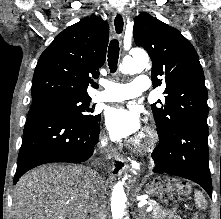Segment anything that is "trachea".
<instances>
[{"label": "trachea", "mask_w": 221, "mask_h": 219, "mask_svg": "<svg viewBox=\"0 0 221 219\" xmlns=\"http://www.w3.org/2000/svg\"><path fill=\"white\" fill-rule=\"evenodd\" d=\"M119 42L117 39H113L108 47V66L112 73L117 70L118 59H119Z\"/></svg>", "instance_id": "1"}]
</instances>
